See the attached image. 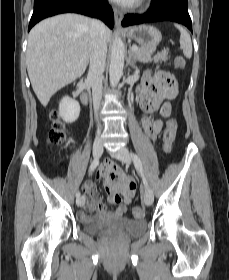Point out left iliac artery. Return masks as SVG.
Here are the masks:
<instances>
[{
	"mask_svg": "<svg viewBox=\"0 0 229 280\" xmlns=\"http://www.w3.org/2000/svg\"><path fill=\"white\" fill-rule=\"evenodd\" d=\"M131 157L134 161V165H135L136 169L140 172V174L142 176L144 184L147 185V181H146L145 176H144V171H143V167H142V163H141L140 158L138 157L137 154H135L133 152L131 153Z\"/></svg>",
	"mask_w": 229,
	"mask_h": 280,
	"instance_id": "left-iliac-artery-1",
	"label": "left iliac artery"
}]
</instances>
